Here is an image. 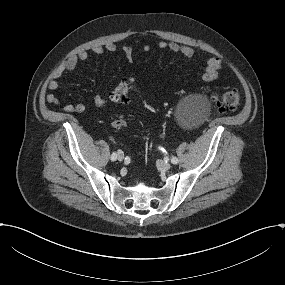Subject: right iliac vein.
Segmentation results:
<instances>
[{
    "label": "right iliac vein",
    "instance_id": "obj_1",
    "mask_svg": "<svg viewBox=\"0 0 285 285\" xmlns=\"http://www.w3.org/2000/svg\"><path fill=\"white\" fill-rule=\"evenodd\" d=\"M117 159L118 161H122L124 159V154L123 152L119 151L118 154H117Z\"/></svg>",
    "mask_w": 285,
    "mask_h": 285
}]
</instances>
